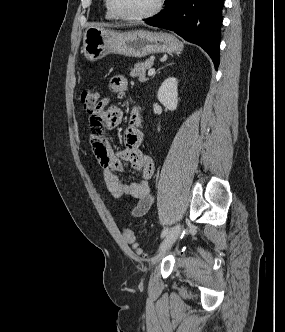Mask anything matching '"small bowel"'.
<instances>
[{
    "label": "small bowel",
    "mask_w": 285,
    "mask_h": 332,
    "mask_svg": "<svg viewBox=\"0 0 285 332\" xmlns=\"http://www.w3.org/2000/svg\"><path fill=\"white\" fill-rule=\"evenodd\" d=\"M110 89L123 95L128 90V82L122 75L114 76L110 81ZM90 141L94 154L98 158L106 189L114 198L129 197L138 202L131 214L143 216L151 207L152 193L149 180L155 172L152 157L141 150L144 134L141 130V120L134 112L129 127L124 132V145L115 151L104 136L102 130L117 127L123 119V111L114 106L110 96H99V103L92 108ZM122 162L130 163L139 173V181H125L120 173L124 170Z\"/></svg>",
    "instance_id": "c3829d8e"
}]
</instances>
